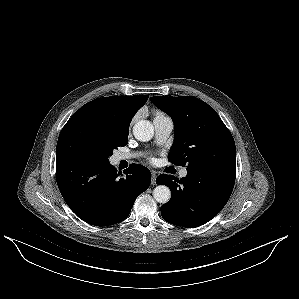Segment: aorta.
<instances>
[{"mask_svg":"<svg viewBox=\"0 0 299 299\" xmlns=\"http://www.w3.org/2000/svg\"><path fill=\"white\" fill-rule=\"evenodd\" d=\"M133 134L139 141H149L154 135V126L148 120H141L133 126ZM154 199L160 203L165 204L171 198V191L165 185H158L153 190Z\"/></svg>","mask_w":299,"mask_h":299,"instance_id":"762f6f07","label":"aorta"}]
</instances>
